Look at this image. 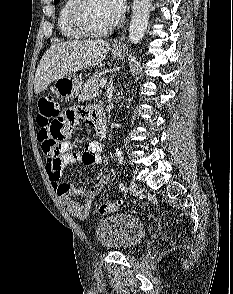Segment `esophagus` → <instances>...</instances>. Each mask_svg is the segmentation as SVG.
Segmentation results:
<instances>
[{
	"label": "esophagus",
	"instance_id": "obj_1",
	"mask_svg": "<svg viewBox=\"0 0 233 294\" xmlns=\"http://www.w3.org/2000/svg\"><path fill=\"white\" fill-rule=\"evenodd\" d=\"M118 45H119L118 43L115 44V46H118Z\"/></svg>",
	"mask_w": 233,
	"mask_h": 294
}]
</instances>
